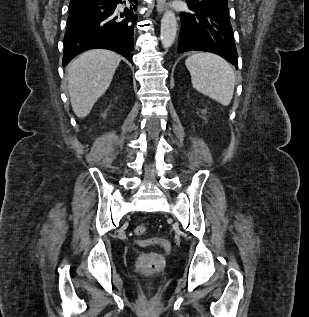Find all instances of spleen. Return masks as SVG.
<instances>
[{"mask_svg":"<svg viewBox=\"0 0 309 317\" xmlns=\"http://www.w3.org/2000/svg\"><path fill=\"white\" fill-rule=\"evenodd\" d=\"M185 64L197 91L224 106L230 104L234 94L235 74L227 61L211 53H196L188 57Z\"/></svg>","mask_w":309,"mask_h":317,"instance_id":"obj_1","label":"spleen"}]
</instances>
